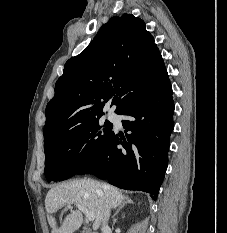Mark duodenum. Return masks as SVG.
Returning a JSON list of instances; mask_svg holds the SVG:
<instances>
[{"label": "duodenum", "instance_id": "obj_1", "mask_svg": "<svg viewBox=\"0 0 227 233\" xmlns=\"http://www.w3.org/2000/svg\"><path fill=\"white\" fill-rule=\"evenodd\" d=\"M85 233H93V232H89V231H87V232H85Z\"/></svg>", "mask_w": 227, "mask_h": 233}]
</instances>
